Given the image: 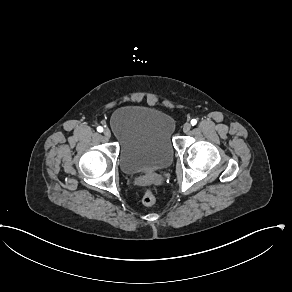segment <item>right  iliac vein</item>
<instances>
[{
  "mask_svg": "<svg viewBox=\"0 0 292 292\" xmlns=\"http://www.w3.org/2000/svg\"><path fill=\"white\" fill-rule=\"evenodd\" d=\"M103 134L106 138H110L111 137V131L107 128L104 129Z\"/></svg>",
  "mask_w": 292,
  "mask_h": 292,
  "instance_id": "obj_1",
  "label": "right iliac vein"
}]
</instances>
